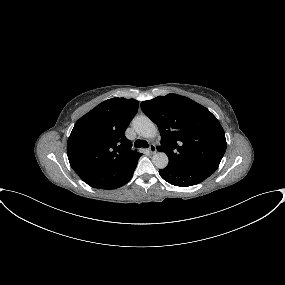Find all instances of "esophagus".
<instances>
[{
	"label": "esophagus",
	"instance_id": "1",
	"mask_svg": "<svg viewBox=\"0 0 285 285\" xmlns=\"http://www.w3.org/2000/svg\"><path fill=\"white\" fill-rule=\"evenodd\" d=\"M148 152L154 154L156 152V146L154 144H151L148 148Z\"/></svg>",
	"mask_w": 285,
	"mask_h": 285
}]
</instances>
